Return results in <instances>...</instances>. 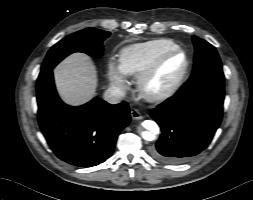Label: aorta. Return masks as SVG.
Here are the masks:
<instances>
[{"instance_id": "1", "label": "aorta", "mask_w": 253, "mask_h": 200, "mask_svg": "<svg viewBox=\"0 0 253 200\" xmlns=\"http://www.w3.org/2000/svg\"><path fill=\"white\" fill-rule=\"evenodd\" d=\"M143 127L147 129V131L141 133L142 138L147 141H153L155 138L154 135L159 132L158 125L154 121L146 120L143 122Z\"/></svg>"}]
</instances>
